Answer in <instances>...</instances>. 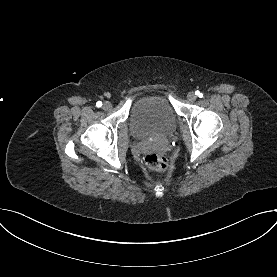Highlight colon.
I'll list each match as a JSON object with an SVG mask.
<instances>
[{
	"label": "colon",
	"mask_w": 277,
	"mask_h": 277,
	"mask_svg": "<svg viewBox=\"0 0 277 277\" xmlns=\"http://www.w3.org/2000/svg\"><path fill=\"white\" fill-rule=\"evenodd\" d=\"M145 163L156 171H164L167 169L169 163L168 159L159 152H150L145 156Z\"/></svg>",
	"instance_id": "colon-1"
}]
</instances>
